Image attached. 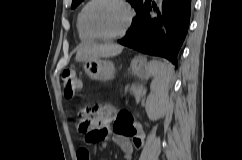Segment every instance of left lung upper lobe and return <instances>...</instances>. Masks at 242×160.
Listing matches in <instances>:
<instances>
[{"label":"left lung upper lobe","mask_w":242,"mask_h":160,"mask_svg":"<svg viewBox=\"0 0 242 160\" xmlns=\"http://www.w3.org/2000/svg\"><path fill=\"white\" fill-rule=\"evenodd\" d=\"M83 0H73L72 1V8H75L79 3H81ZM128 2H130L132 4V6L134 7V9L136 10V12L138 13L146 0H127Z\"/></svg>","instance_id":"left-lung-upper-lobe-1"}]
</instances>
